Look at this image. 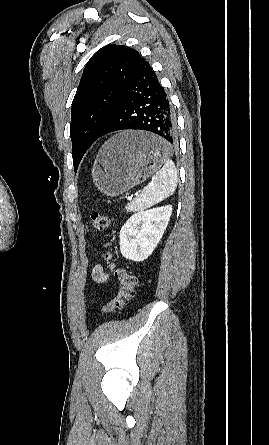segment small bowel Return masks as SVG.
Returning a JSON list of instances; mask_svg holds the SVG:
<instances>
[{"label": "small bowel", "mask_w": 269, "mask_h": 445, "mask_svg": "<svg viewBox=\"0 0 269 445\" xmlns=\"http://www.w3.org/2000/svg\"><path fill=\"white\" fill-rule=\"evenodd\" d=\"M92 279L96 283H104L108 280V273L104 270L103 266L101 264H96L91 273Z\"/></svg>", "instance_id": "small-bowel-1"}]
</instances>
